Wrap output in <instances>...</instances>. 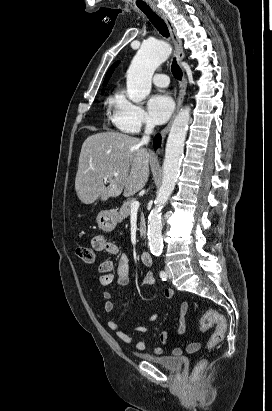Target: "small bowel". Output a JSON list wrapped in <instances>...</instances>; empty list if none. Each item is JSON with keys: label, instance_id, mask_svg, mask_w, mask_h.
<instances>
[{"label": "small bowel", "instance_id": "1", "mask_svg": "<svg viewBox=\"0 0 272 411\" xmlns=\"http://www.w3.org/2000/svg\"><path fill=\"white\" fill-rule=\"evenodd\" d=\"M91 245L97 252H105L111 255H115L116 260L107 259L99 264L100 272V284L102 286H111L113 284L118 286H125L130 281V263L129 258L125 254L120 253L119 246L114 242L107 240L102 235H96L91 241ZM156 284V278L151 271H147L142 279L141 286L151 287ZM165 297L168 300L176 298L177 293L174 289L168 288L164 292ZM104 311L111 313L114 309V303L112 301L113 294L109 290L103 292ZM188 311V303L182 302L179 306L178 327L174 331H164L160 334L159 339L162 344H166L172 335H182L186 329V314ZM160 313H154L145 319V323H152L156 321ZM107 327L124 343L134 345L138 351H143L146 348V343L142 340L135 339L129 333L126 332L118 323L113 320L107 322ZM135 331L144 333L147 331L146 326H137ZM200 345L197 342L189 344L185 349L175 348L173 349L174 355H182L183 353H192L199 349ZM153 353L159 355L163 349L160 346L152 347Z\"/></svg>", "mask_w": 272, "mask_h": 411}]
</instances>
